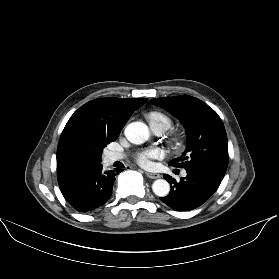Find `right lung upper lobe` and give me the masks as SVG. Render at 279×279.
<instances>
[{"label":"right lung upper lobe","instance_id":"right-lung-upper-lobe-1","mask_svg":"<svg viewBox=\"0 0 279 279\" xmlns=\"http://www.w3.org/2000/svg\"><path fill=\"white\" fill-rule=\"evenodd\" d=\"M146 98H98L81 106L68 120L57 147V177L100 164L93 148L98 137L119 136L131 114Z\"/></svg>","mask_w":279,"mask_h":279}]
</instances>
